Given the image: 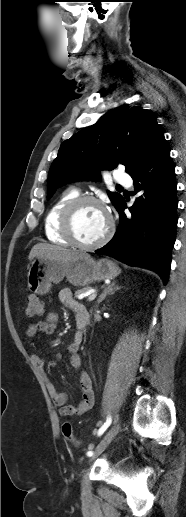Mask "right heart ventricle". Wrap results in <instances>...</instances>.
Masks as SVG:
<instances>
[{"label":"right heart ventricle","mask_w":186,"mask_h":517,"mask_svg":"<svg viewBox=\"0 0 186 517\" xmlns=\"http://www.w3.org/2000/svg\"><path fill=\"white\" fill-rule=\"evenodd\" d=\"M79 192L69 188L63 191L48 208L44 218V231L50 242L67 245L70 242L61 231V217L65 207L76 197Z\"/></svg>","instance_id":"right-heart-ventricle-1"}]
</instances>
